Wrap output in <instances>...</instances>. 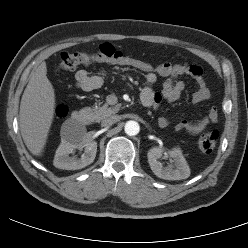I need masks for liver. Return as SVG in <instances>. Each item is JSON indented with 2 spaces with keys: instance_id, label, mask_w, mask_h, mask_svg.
I'll return each mask as SVG.
<instances>
[{
  "instance_id": "obj_1",
  "label": "liver",
  "mask_w": 248,
  "mask_h": 248,
  "mask_svg": "<svg viewBox=\"0 0 248 248\" xmlns=\"http://www.w3.org/2000/svg\"><path fill=\"white\" fill-rule=\"evenodd\" d=\"M42 62L32 73L20 102V131L28 150L40 156L46 145L55 112L54 88Z\"/></svg>"
}]
</instances>
